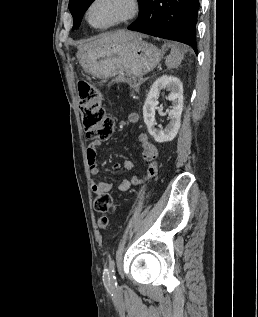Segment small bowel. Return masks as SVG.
Masks as SVG:
<instances>
[{"instance_id": "c3829d8e", "label": "small bowel", "mask_w": 258, "mask_h": 317, "mask_svg": "<svg viewBox=\"0 0 258 317\" xmlns=\"http://www.w3.org/2000/svg\"><path fill=\"white\" fill-rule=\"evenodd\" d=\"M139 120V115L137 113H132L128 116L126 123L129 125L137 123ZM138 139L143 148V158L149 163L147 176L146 178H151L157 173V158H158V149L155 143L144 133L138 135ZM101 144L100 140H95L91 142L86 150L87 160L89 164V170L93 176L91 180V189L95 194L99 193H109L113 189V184L111 182L100 181L95 176L98 175L100 168L97 162V148ZM119 168L120 165L115 166ZM122 167L126 171H132L134 168V162L132 160H125L122 164ZM144 180H139L137 178L132 179H123L117 186L118 190L125 192L131 188L132 185L143 182Z\"/></svg>"}]
</instances>
